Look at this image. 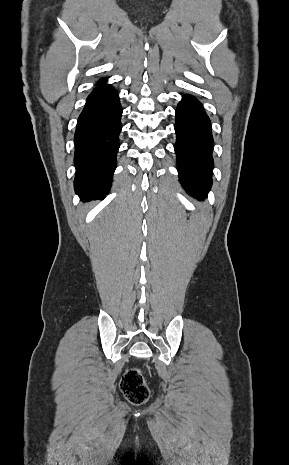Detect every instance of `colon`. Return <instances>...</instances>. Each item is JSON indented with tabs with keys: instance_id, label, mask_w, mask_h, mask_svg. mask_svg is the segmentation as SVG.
<instances>
[{
	"instance_id": "obj_1",
	"label": "colon",
	"mask_w": 289,
	"mask_h": 465,
	"mask_svg": "<svg viewBox=\"0 0 289 465\" xmlns=\"http://www.w3.org/2000/svg\"><path fill=\"white\" fill-rule=\"evenodd\" d=\"M120 388L128 401L133 404H142L148 399L149 389L140 369L132 368L126 371Z\"/></svg>"
}]
</instances>
